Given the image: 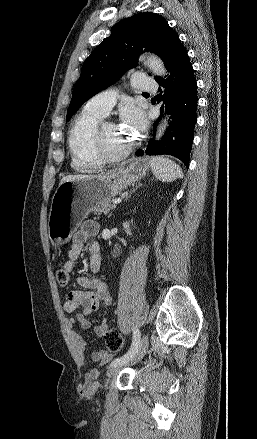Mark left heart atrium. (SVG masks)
I'll list each match as a JSON object with an SVG mask.
<instances>
[{
    "instance_id": "left-heart-atrium-1",
    "label": "left heart atrium",
    "mask_w": 257,
    "mask_h": 439,
    "mask_svg": "<svg viewBox=\"0 0 257 439\" xmlns=\"http://www.w3.org/2000/svg\"><path fill=\"white\" fill-rule=\"evenodd\" d=\"M122 124L126 130L138 134L146 128V117L144 112L137 106L128 105L121 110Z\"/></svg>"
}]
</instances>
